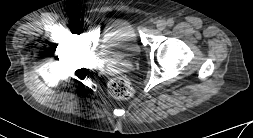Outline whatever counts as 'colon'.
<instances>
[{
    "label": "colon",
    "mask_w": 253,
    "mask_h": 138,
    "mask_svg": "<svg viewBox=\"0 0 253 138\" xmlns=\"http://www.w3.org/2000/svg\"><path fill=\"white\" fill-rule=\"evenodd\" d=\"M109 91L112 96L118 99H127L133 93V87L126 78H114L109 83Z\"/></svg>",
    "instance_id": "1"
}]
</instances>
